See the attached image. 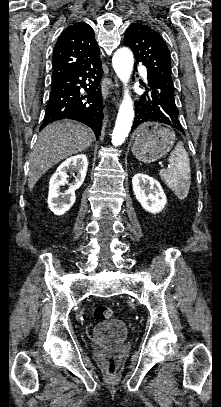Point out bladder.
I'll use <instances>...</instances> for the list:
<instances>
[{
	"instance_id": "bladder-1",
	"label": "bladder",
	"mask_w": 221,
	"mask_h": 407,
	"mask_svg": "<svg viewBox=\"0 0 221 407\" xmlns=\"http://www.w3.org/2000/svg\"><path fill=\"white\" fill-rule=\"evenodd\" d=\"M128 336V325L123 319H113L108 324H97L92 329V337L100 343L120 344Z\"/></svg>"
}]
</instances>
